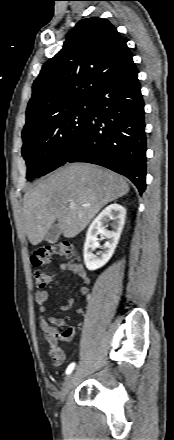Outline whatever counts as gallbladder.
Returning a JSON list of instances; mask_svg holds the SVG:
<instances>
[{
	"instance_id": "bac80fb5",
	"label": "gallbladder",
	"mask_w": 174,
	"mask_h": 440,
	"mask_svg": "<svg viewBox=\"0 0 174 440\" xmlns=\"http://www.w3.org/2000/svg\"><path fill=\"white\" fill-rule=\"evenodd\" d=\"M60 233H61V231L59 229L58 224H53L49 228V230L47 231V233L45 235V240L48 243L53 244V243H55L58 240V238L60 236Z\"/></svg>"
}]
</instances>
